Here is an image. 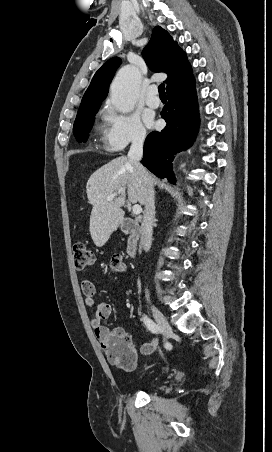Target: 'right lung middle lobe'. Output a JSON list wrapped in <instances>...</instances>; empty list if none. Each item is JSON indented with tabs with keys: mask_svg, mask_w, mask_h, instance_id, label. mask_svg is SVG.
Wrapping results in <instances>:
<instances>
[{
	"mask_svg": "<svg viewBox=\"0 0 272 452\" xmlns=\"http://www.w3.org/2000/svg\"><path fill=\"white\" fill-rule=\"evenodd\" d=\"M100 105L79 109L73 131L78 142H86L88 133L93 126L94 115Z\"/></svg>",
	"mask_w": 272,
	"mask_h": 452,
	"instance_id": "dd1d6c3e",
	"label": "right lung middle lobe"
}]
</instances>
